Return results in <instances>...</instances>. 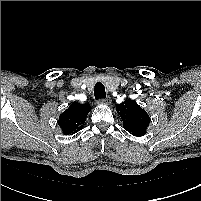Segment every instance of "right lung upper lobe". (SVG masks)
Returning <instances> with one entry per match:
<instances>
[{
  "label": "right lung upper lobe",
  "instance_id": "obj_1",
  "mask_svg": "<svg viewBox=\"0 0 201 201\" xmlns=\"http://www.w3.org/2000/svg\"><path fill=\"white\" fill-rule=\"evenodd\" d=\"M90 111V105L74 102L59 116L58 125L65 135L75 134L83 128Z\"/></svg>",
  "mask_w": 201,
  "mask_h": 201
}]
</instances>
